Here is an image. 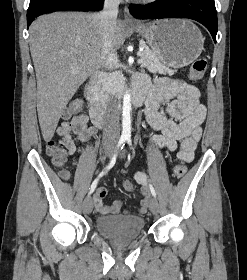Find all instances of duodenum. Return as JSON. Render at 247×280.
I'll list each match as a JSON object with an SVG mask.
<instances>
[{"instance_id":"1","label":"duodenum","mask_w":247,"mask_h":280,"mask_svg":"<svg viewBox=\"0 0 247 280\" xmlns=\"http://www.w3.org/2000/svg\"><path fill=\"white\" fill-rule=\"evenodd\" d=\"M100 73L93 74L85 85L84 96L89 106V114L94 125L102 126L105 122L106 110L98 99V83ZM146 92L136 87L133 94V103L140 107L145 100Z\"/></svg>"}]
</instances>
